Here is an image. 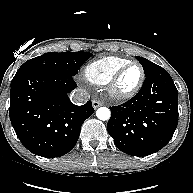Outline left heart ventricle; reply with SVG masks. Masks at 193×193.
Listing matches in <instances>:
<instances>
[{
  "instance_id": "1",
  "label": "left heart ventricle",
  "mask_w": 193,
  "mask_h": 193,
  "mask_svg": "<svg viewBox=\"0 0 193 193\" xmlns=\"http://www.w3.org/2000/svg\"><path fill=\"white\" fill-rule=\"evenodd\" d=\"M141 72L137 66H132L122 75L118 88L122 92L133 89L140 80Z\"/></svg>"
}]
</instances>
